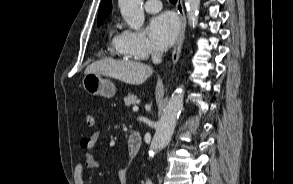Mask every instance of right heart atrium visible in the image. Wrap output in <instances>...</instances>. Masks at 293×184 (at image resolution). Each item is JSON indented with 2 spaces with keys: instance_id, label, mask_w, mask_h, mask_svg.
I'll return each mask as SVG.
<instances>
[{
  "instance_id": "right-heart-atrium-1",
  "label": "right heart atrium",
  "mask_w": 293,
  "mask_h": 184,
  "mask_svg": "<svg viewBox=\"0 0 293 184\" xmlns=\"http://www.w3.org/2000/svg\"><path fill=\"white\" fill-rule=\"evenodd\" d=\"M119 47L130 56L143 59L157 52L156 47L140 32L123 30L117 38Z\"/></svg>"
}]
</instances>
